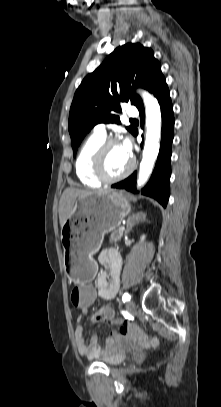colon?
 <instances>
[{
  "mask_svg": "<svg viewBox=\"0 0 221 407\" xmlns=\"http://www.w3.org/2000/svg\"><path fill=\"white\" fill-rule=\"evenodd\" d=\"M72 291L71 306H76L77 311H90L91 306L94 305V300L97 298L95 283H73ZM103 312L102 319L104 322H112L116 319L115 307L113 305H105ZM120 331L123 334L129 332L144 349H154L158 346L159 340L157 338L150 337L139 329H128L127 326H123Z\"/></svg>",
  "mask_w": 221,
  "mask_h": 407,
  "instance_id": "1",
  "label": "colon"
}]
</instances>
